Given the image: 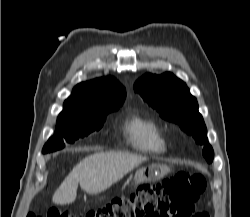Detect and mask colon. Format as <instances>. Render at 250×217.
Segmentation results:
<instances>
[{"instance_id":"colon-1","label":"colon","mask_w":250,"mask_h":217,"mask_svg":"<svg viewBox=\"0 0 250 217\" xmlns=\"http://www.w3.org/2000/svg\"><path fill=\"white\" fill-rule=\"evenodd\" d=\"M206 187L202 174L181 172L160 183L142 184L128 196L116 197L108 204L80 217H187ZM27 217H36L29 213ZM47 217H73L65 210L51 209ZM194 217H209L199 212Z\"/></svg>"}]
</instances>
